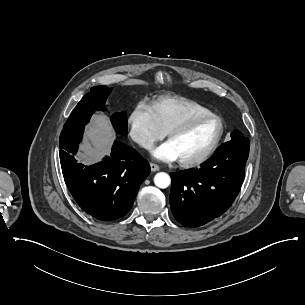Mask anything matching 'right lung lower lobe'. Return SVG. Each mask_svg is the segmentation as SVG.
I'll list each match as a JSON object with an SVG mask.
<instances>
[{"label": "right lung lower lobe", "instance_id": "obj_1", "mask_svg": "<svg viewBox=\"0 0 305 305\" xmlns=\"http://www.w3.org/2000/svg\"><path fill=\"white\" fill-rule=\"evenodd\" d=\"M84 127L62 130L60 162L65 183L77 204L98 220L121 218L131 209L150 166L135 149L115 141L110 156L92 166L77 163Z\"/></svg>", "mask_w": 305, "mask_h": 305}]
</instances>
